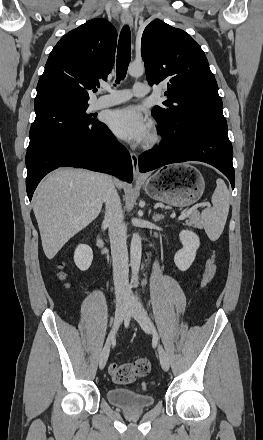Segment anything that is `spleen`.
I'll return each instance as SVG.
<instances>
[{"label":"spleen","mask_w":263,"mask_h":440,"mask_svg":"<svg viewBox=\"0 0 263 440\" xmlns=\"http://www.w3.org/2000/svg\"><path fill=\"white\" fill-rule=\"evenodd\" d=\"M216 185L211 199L213 206L204 209L201 214L205 232L212 241H216L224 230L230 203V193L225 182L217 179Z\"/></svg>","instance_id":"3e777b00"}]
</instances>
